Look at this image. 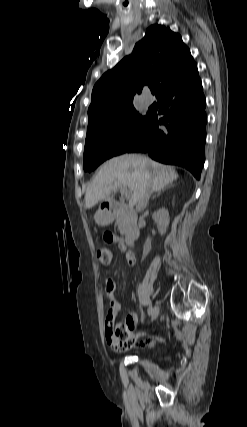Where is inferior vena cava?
<instances>
[{
  "label": "inferior vena cava",
  "instance_id": "inferior-vena-cava-1",
  "mask_svg": "<svg viewBox=\"0 0 247 427\" xmlns=\"http://www.w3.org/2000/svg\"><path fill=\"white\" fill-rule=\"evenodd\" d=\"M151 195V189L147 188L143 195L136 202V210L138 212L142 211L148 204L149 198Z\"/></svg>",
  "mask_w": 247,
  "mask_h": 427
}]
</instances>
